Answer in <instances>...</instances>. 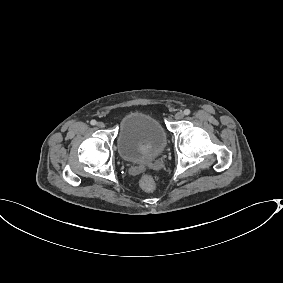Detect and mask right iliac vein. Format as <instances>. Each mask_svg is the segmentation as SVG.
I'll list each match as a JSON object with an SVG mask.
<instances>
[{
    "label": "right iliac vein",
    "instance_id": "1",
    "mask_svg": "<svg viewBox=\"0 0 283 283\" xmlns=\"http://www.w3.org/2000/svg\"><path fill=\"white\" fill-rule=\"evenodd\" d=\"M96 125H97L98 128H104L105 127V124L103 122H97Z\"/></svg>",
    "mask_w": 283,
    "mask_h": 283
}]
</instances>
